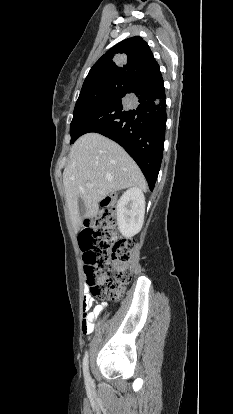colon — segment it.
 <instances>
[{"instance_id": "1", "label": "colon", "mask_w": 233, "mask_h": 414, "mask_svg": "<svg viewBox=\"0 0 233 414\" xmlns=\"http://www.w3.org/2000/svg\"><path fill=\"white\" fill-rule=\"evenodd\" d=\"M79 244L91 295L102 297L108 294L113 300L119 299L132 279L131 254L135 241L117 233L112 197L103 200L93 226L80 232Z\"/></svg>"}]
</instances>
